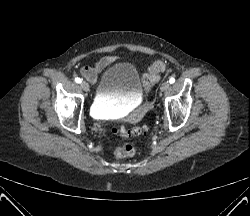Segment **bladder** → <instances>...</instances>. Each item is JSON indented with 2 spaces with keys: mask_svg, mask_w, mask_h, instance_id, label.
Listing matches in <instances>:
<instances>
[{
  "mask_svg": "<svg viewBox=\"0 0 250 216\" xmlns=\"http://www.w3.org/2000/svg\"><path fill=\"white\" fill-rule=\"evenodd\" d=\"M142 98L140 75L128 62L115 63L102 73L92 104V112L98 117L119 113L137 105Z\"/></svg>",
  "mask_w": 250,
  "mask_h": 216,
  "instance_id": "bladder-1",
  "label": "bladder"
}]
</instances>
